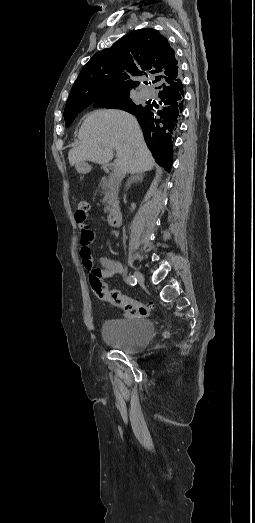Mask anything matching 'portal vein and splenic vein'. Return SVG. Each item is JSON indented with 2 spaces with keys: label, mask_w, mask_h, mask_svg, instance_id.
<instances>
[{
  "label": "portal vein and splenic vein",
  "mask_w": 255,
  "mask_h": 523,
  "mask_svg": "<svg viewBox=\"0 0 255 523\" xmlns=\"http://www.w3.org/2000/svg\"><path fill=\"white\" fill-rule=\"evenodd\" d=\"M119 171V166H118V163H113V169L111 170V173L113 175H116Z\"/></svg>",
  "instance_id": "obj_1"
}]
</instances>
